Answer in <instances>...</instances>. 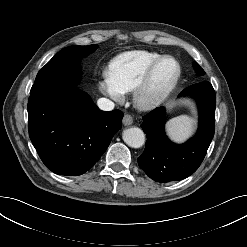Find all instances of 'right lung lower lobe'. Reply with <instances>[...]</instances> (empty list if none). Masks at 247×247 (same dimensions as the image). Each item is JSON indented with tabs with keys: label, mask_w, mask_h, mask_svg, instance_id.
Returning a JSON list of instances; mask_svg holds the SVG:
<instances>
[{
	"label": "right lung lower lobe",
	"mask_w": 247,
	"mask_h": 247,
	"mask_svg": "<svg viewBox=\"0 0 247 247\" xmlns=\"http://www.w3.org/2000/svg\"><path fill=\"white\" fill-rule=\"evenodd\" d=\"M123 113L100 111L75 87L32 88L29 136L45 166L59 175L88 171L121 128Z\"/></svg>",
	"instance_id": "right-lung-lower-lobe-1"
}]
</instances>
